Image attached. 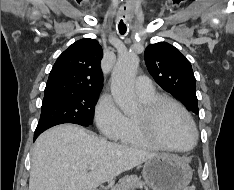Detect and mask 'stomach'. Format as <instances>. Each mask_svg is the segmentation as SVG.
I'll return each mask as SVG.
<instances>
[{
    "mask_svg": "<svg viewBox=\"0 0 234 190\" xmlns=\"http://www.w3.org/2000/svg\"><path fill=\"white\" fill-rule=\"evenodd\" d=\"M142 174L152 190H183L190 183L193 173L183 159L159 154L145 162Z\"/></svg>",
    "mask_w": 234,
    "mask_h": 190,
    "instance_id": "obj_1",
    "label": "stomach"
}]
</instances>
